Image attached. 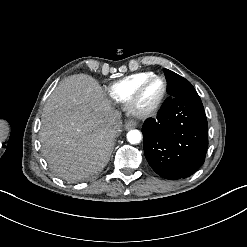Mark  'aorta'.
I'll list each match as a JSON object with an SVG mask.
<instances>
[{
  "label": "aorta",
  "mask_w": 247,
  "mask_h": 247,
  "mask_svg": "<svg viewBox=\"0 0 247 247\" xmlns=\"http://www.w3.org/2000/svg\"><path fill=\"white\" fill-rule=\"evenodd\" d=\"M141 139H142V134L140 133L139 130H130L127 133V140L131 144H137L141 141Z\"/></svg>",
  "instance_id": "aorta-1"
}]
</instances>
